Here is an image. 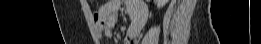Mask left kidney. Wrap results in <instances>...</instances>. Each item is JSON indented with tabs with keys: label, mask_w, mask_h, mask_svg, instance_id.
I'll use <instances>...</instances> for the list:
<instances>
[{
	"label": "left kidney",
	"mask_w": 261,
	"mask_h": 44,
	"mask_svg": "<svg viewBox=\"0 0 261 44\" xmlns=\"http://www.w3.org/2000/svg\"><path fill=\"white\" fill-rule=\"evenodd\" d=\"M169 0H157V7H163Z\"/></svg>",
	"instance_id": "obj_1"
}]
</instances>
